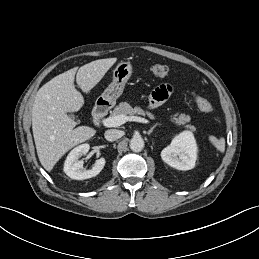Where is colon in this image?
Wrapping results in <instances>:
<instances>
[{
    "mask_svg": "<svg viewBox=\"0 0 259 259\" xmlns=\"http://www.w3.org/2000/svg\"><path fill=\"white\" fill-rule=\"evenodd\" d=\"M151 73L156 77H166L170 70L167 65L156 63L150 67ZM193 100L196 106L203 112L210 113L214 111L213 105L203 96L198 93H193Z\"/></svg>",
    "mask_w": 259,
    "mask_h": 259,
    "instance_id": "colon-1",
    "label": "colon"
}]
</instances>
